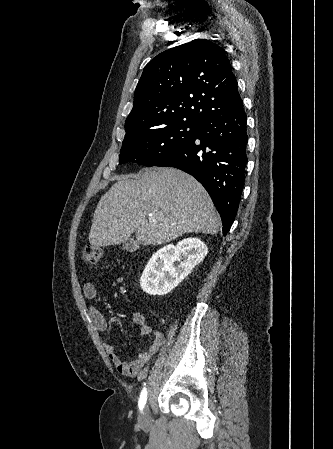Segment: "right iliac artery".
<instances>
[{"label":"right iliac artery","instance_id":"obj_1","mask_svg":"<svg viewBox=\"0 0 333 449\" xmlns=\"http://www.w3.org/2000/svg\"><path fill=\"white\" fill-rule=\"evenodd\" d=\"M146 400H147V390L146 388H144L140 394V398H139V409L143 410L145 404H146Z\"/></svg>","mask_w":333,"mask_h":449}]
</instances>
